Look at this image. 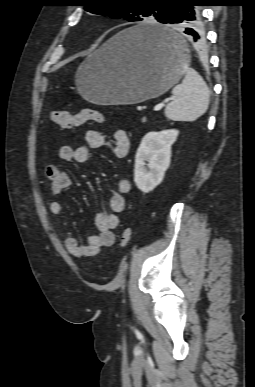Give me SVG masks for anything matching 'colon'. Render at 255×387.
Returning <instances> with one entry per match:
<instances>
[{"mask_svg":"<svg viewBox=\"0 0 255 387\" xmlns=\"http://www.w3.org/2000/svg\"><path fill=\"white\" fill-rule=\"evenodd\" d=\"M51 120L55 125L63 129H71L80 126L86 122L93 121L99 124H103L106 121L105 116L95 109H82L76 113H70L69 111L56 109L51 113ZM131 231L125 229L120 237V244L126 247L131 242Z\"/></svg>","mask_w":255,"mask_h":387,"instance_id":"5ec220e1","label":"colon"}]
</instances>
